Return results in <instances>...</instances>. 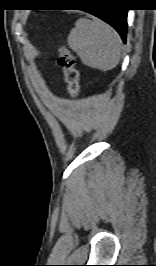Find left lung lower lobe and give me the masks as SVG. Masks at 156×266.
Wrapping results in <instances>:
<instances>
[{
    "instance_id": "0a47b994",
    "label": "left lung lower lobe",
    "mask_w": 156,
    "mask_h": 266,
    "mask_svg": "<svg viewBox=\"0 0 156 266\" xmlns=\"http://www.w3.org/2000/svg\"><path fill=\"white\" fill-rule=\"evenodd\" d=\"M93 2L102 4L100 7H92L82 9L87 11L106 23L110 24L114 27L117 32L122 37L123 41L126 42V34H127V10L126 9H117L108 7V0H94Z\"/></svg>"
}]
</instances>
